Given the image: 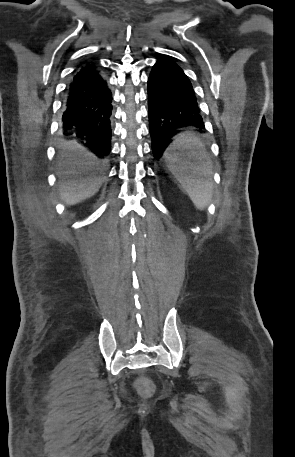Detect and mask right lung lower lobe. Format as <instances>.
I'll use <instances>...</instances> for the list:
<instances>
[{"label": "right lung lower lobe", "mask_w": 295, "mask_h": 457, "mask_svg": "<svg viewBox=\"0 0 295 457\" xmlns=\"http://www.w3.org/2000/svg\"><path fill=\"white\" fill-rule=\"evenodd\" d=\"M112 94L93 61L74 73L67 88L62 117L64 127L75 126L83 145L100 157L110 153Z\"/></svg>", "instance_id": "right-lung-lower-lobe-1"}]
</instances>
